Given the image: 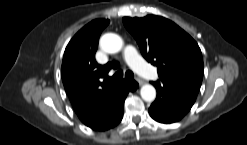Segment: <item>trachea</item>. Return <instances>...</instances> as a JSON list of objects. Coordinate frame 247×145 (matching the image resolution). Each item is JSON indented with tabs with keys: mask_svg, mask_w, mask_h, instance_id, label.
<instances>
[{
	"mask_svg": "<svg viewBox=\"0 0 247 145\" xmlns=\"http://www.w3.org/2000/svg\"><path fill=\"white\" fill-rule=\"evenodd\" d=\"M122 76H123V72L121 70H119L112 77H109L108 80H110V81H118V80H120L122 78ZM125 76L127 78L131 79V78L134 77V74H133L132 71L128 70V71H126Z\"/></svg>",
	"mask_w": 247,
	"mask_h": 145,
	"instance_id": "1",
	"label": "trachea"
}]
</instances>
